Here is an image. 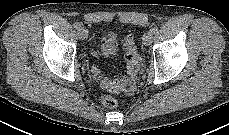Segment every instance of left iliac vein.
<instances>
[{"label": "left iliac vein", "mask_w": 229, "mask_h": 135, "mask_svg": "<svg viewBox=\"0 0 229 135\" xmlns=\"http://www.w3.org/2000/svg\"><path fill=\"white\" fill-rule=\"evenodd\" d=\"M153 41V34L148 31L142 37V42L145 46H149Z\"/></svg>", "instance_id": "obj_1"}]
</instances>
